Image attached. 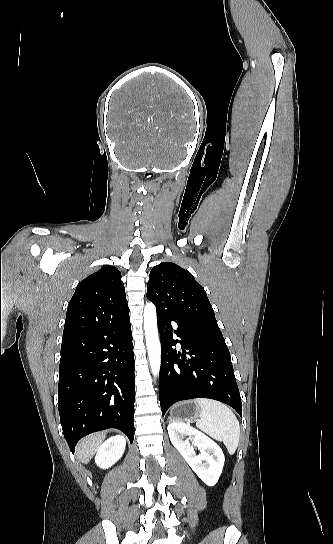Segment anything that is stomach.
<instances>
[{
  "label": "stomach",
  "mask_w": 333,
  "mask_h": 544,
  "mask_svg": "<svg viewBox=\"0 0 333 544\" xmlns=\"http://www.w3.org/2000/svg\"><path fill=\"white\" fill-rule=\"evenodd\" d=\"M199 415V408L193 401L181 402L171 410L170 419L173 421L195 420Z\"/></svg>",
  "instance_id": "obj_1"
}]
</instances>
